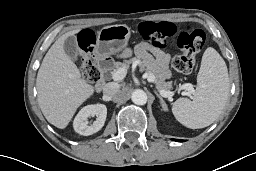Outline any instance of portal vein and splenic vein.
<instances>
[{
    "instance_id": "18ae733b",
    "label": "portal vein and splenic vein",
    "mask_w": 256,
    "mask_h": 171,
    "mask_svg": "<svg viewBox=\"0 0 256 171\" xmlns=\"http://www.w3.org/2000/svg\"><path fill=\"white\" fill-rule=\"evenodd\" d=\"M126 74H127V69L126 68H120L112 74V78H113L114 81H120V80L125 78ZM147 80L149 82H153L154 81V76L153 75H148ZM183 88L187 91V92H185V95L190 96L191 94L194 93V88L191 84H185L183 86ZM160 94L163 97H166V98H171L172 95H173L172 92L166 91V90H163V89L160 90Z\"/></svg>"
}]
</instances>
